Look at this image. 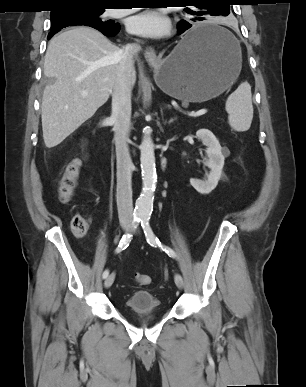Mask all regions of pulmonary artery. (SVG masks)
I'll list each match as a JSON object with an SVG mask.
<instances>
[{
    "mask_svg": "<svg viewBox=\"0 0 306 387\" xmlns=\"http://www.w3.org/2000/svg\"><path fill=\"white\" fill-rule=\"evenodd\" d=\"M133 9H114L109 12L112 17H120L132 13Z\"/></svg>",
    "mask_w": 306,
    "mask_h": 387,
    "instance_id": "obj_1",
    "label": "pulmonary artery"
}]
</instances>
